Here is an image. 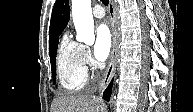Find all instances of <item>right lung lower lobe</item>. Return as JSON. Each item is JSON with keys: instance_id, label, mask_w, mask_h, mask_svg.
<instances>
[{"instance_id": "1", "label": "right lung lower lobe", "mask_w": 193, "mask_h": 112, "mask_svg": "<svg viewBox=\"0 0 193 112\" xmlns=\"http://www.w3.org/2000/svg\"><path fill=\"white\" fill-rule=\"evenodd\" d=\"M112 84H113V80L110 82V84L108 85L107 89L104 91V94H103V98L107 101H109L110 99Z\"/></svg>"}]
</instances>
